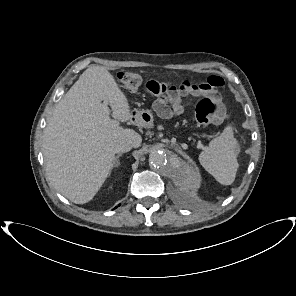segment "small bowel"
Returning <instances> with one entry per match:
<instances>
[{"mask_svg":"<svg viewBox=\"0 0 296 296\" xmlns=\"http://www.w3.org/2000/svg\"><path fill=\"white\" fill-rule=\"evenodd\" d=\"M221 85L222 80L220 78L210 77L199 85H194L187 90H181L167 83L151 80L146 84V89L158 96L154 105L156 112L160 116L168 118L182 113V100L185 95L189 94L194 97L208 95L217 99L216 89ZM154 87L158 89L154 91Z\"/></svg>","mask_w":296,"mask_h":296,"instance_id":"small-bowel-1","label":"small bowel"}]
</instances>
